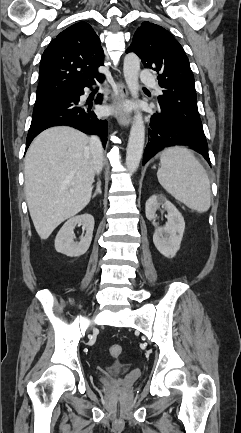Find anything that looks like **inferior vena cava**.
I'll list each match as a JSON object with an SVG mask.
<instances>
[{"label": "inferior vena cava", "mask_w": 241, "mask_h": 433, "mask_svg": "<svg viewBox=\"0 0 241 433\" xmlns=\"http://www.w3.org/2000/svg\"><path fill=\"white\" fill-rule=\"evenodd\" d=\"M89 147L93 154L96 173L99 174L103 165V147L100 139L97 136H92Z\"/></svg>", "instance_id": "1"}]
</instances>
